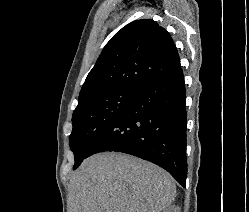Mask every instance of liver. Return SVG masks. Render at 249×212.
<instances>
[{
	"label": "liver",
	"instance_id": "obj_1",
	"mask_svg": "<svg viewBox=\"0 0 249 212\" xmlns=\"http://www.w3.org/2000/svg\"><path fill=\"white\" fill-rule=\"evenodd\" d=\"M176 198L165 170L129 154L105 152L70 178L69 212H165Z\"/></svg>",
	"mask_w": 249,
	"mask_h": 212
}]
</instances>
